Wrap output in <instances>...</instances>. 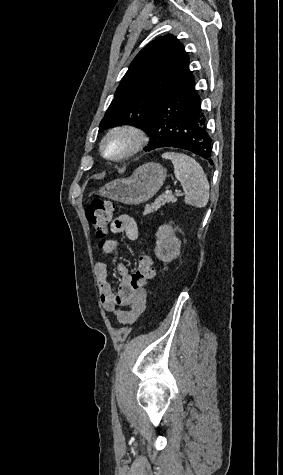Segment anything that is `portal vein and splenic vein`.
I'll list each match as a JSON object with an SVG mask.
<instances>
[{"mask_svg": "<svg viewBox=\"0 0 283 475\" xmlns=\"http://www.w3.org/2000/svg\"><path fill=\"white\" fill-rule=\"evenodd\" d=\"M183 193H184V192H183V190H181V189H175V190L172 191V194L174 195V197H175L176 199L181 198L182 195H183Z\"/></svg>", "mask_w": 283, "mask_h": 475, "instance_id": "portal-vein-and-splenic-vein-1", "label": "portal vein and splenic vein"}]
</instances>
